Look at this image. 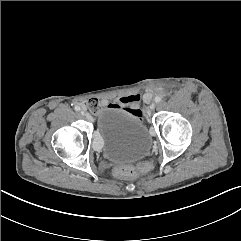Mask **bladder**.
Here are the masks:
<instances>
[{"label": "bladder", "instance_id": "31cf9c89", "mask_svg": "<svg viewBox=\"0 0 241 241\" xmlns=\"http://www.w3.org/2000/svg\"><path fill=\"white\" fill-rule=\"evenodd\" d=\"M96 137L101 152L112 162L137 161L151 149V138L143 122L122 109L104 107L98 114Z\"/></svg>", "mask_w": 241, "mask_h": 241}]
</instances>
